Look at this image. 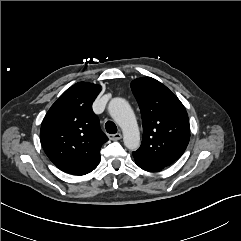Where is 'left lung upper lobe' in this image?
<instances>
[{
	"label": "left lung upper lobe",
	"mask_w": 241,
	"mask_h": 241,
	"mask_svg": "<svg viewBox=\"0 0 241 241\" xmlns=\"http://www.w3.org/2000/svg\"><path fill=\"white\" fill-rule=\"evenodd\" d=\"M143 121L141 146L133 156L136 164L150 172L161 171L179 159L188 146L190 125L181 101L151 77L131 83Z\"/></svg>",
	"instance_id": "left-lung-upper-lobe-1"
}]
</instances>
